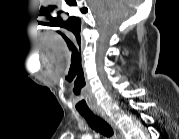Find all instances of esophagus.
<instances>
[{
    "mask_svg": "<svg viewBox=\"0 0 179 139\" xmlns=\"http://www.w3.org/2000/svg\"><path fill=\"white\" fill-rule=\"evenodd\" d=\"M96 113L100 115L102 118H104L111 125L118 139H124L122 131L109 117L105 115V113L101 109L96 110Z\"/></svg>",
    "mask_w": 179,
    "mask_h": 139,
    "instance_id": "obj_1",
    "label": "esophagus"
}]
</instances>
